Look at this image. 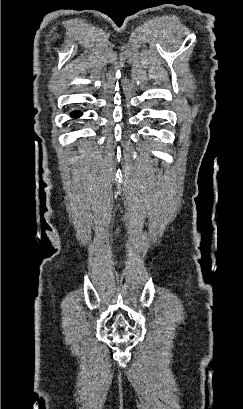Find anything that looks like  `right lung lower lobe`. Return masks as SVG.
Masks as SVG:
<instances>
[{"mask_svg": "<svg viewBox=\"0 0 243 409\" xmlns=\"http://www.w3.org/2000/svg\"><path fill=\"white\" fill-rule=\"evenodd\" d=\"M80 115H81V112H78V111H74L72 113V117H79Z\"/></svg>", "mask_w": 243, "mask_h": 409, "instance_id": "right-lung-lower-lobe-1", "label": "right lung lower lobe"}]
</instances>
